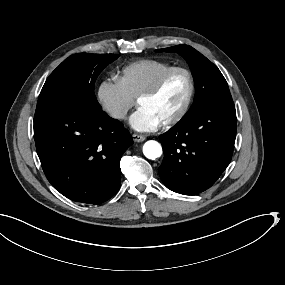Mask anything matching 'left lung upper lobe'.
I'll use <instances>...</instances> for the list:
<instances>
[{
    "label": "left lung upper lobe",
    "mask_w": 285,
    "mask_h": 285,
    "mask_svg": "<svg viewBox=\"0 0 285 285\" xmlns=\"http://www.w3.org/2000/svg\"><path fill=\"white\" fill-rule=\"evenodd\" d=\"M157 51L177 52L183 55L190 65L197 90L194 102L185 115L212 104H234L228 84L220 70L197 50L188 45H177Z\"/></svg>",
    "instance_id": "5c2ea615"
}]
</instances>
